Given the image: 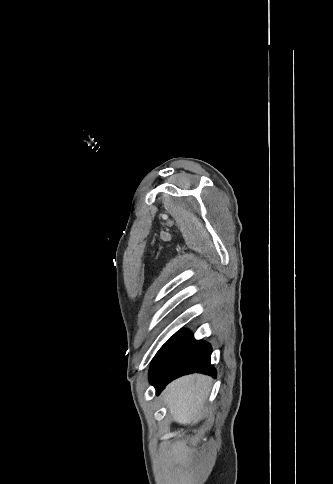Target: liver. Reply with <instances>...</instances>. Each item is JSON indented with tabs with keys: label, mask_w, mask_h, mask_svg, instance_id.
I'll list each match as a JSON object with an SVG mask.
<instances>
[{
	"label": "liver",
	"mask_w": 333,
	"mask_h": 484,
	"mask_svg": "<svg viewBox=\"0 0 333 484\" xmlns=\"http://www.w3.org/2000/svg\"><path fill=\"white\" fill-rule=\"evenodd\" d=\"M211 383L212 379L202 374L187 375L170 383L162 397L173 420L189 425L201 419Z\"/></svg>",
	"instance_id": "liver-1"
}]
</instances>
